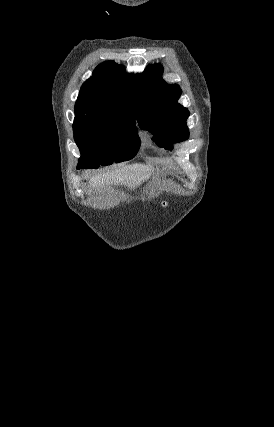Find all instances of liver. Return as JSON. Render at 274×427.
Listing matches in <instances>:
<instances>
[{
    "instance_id": "1",
    "label": "liver",
    "mask_w": 274,
    "mask_h": 427,
    "mask_svg": "<svg viewBox=\"0 0 274 427\" xmlns=\"http://www.w3.org/2000/svg\"><path fill=\"white\" fill-rule=\"evenodd\" d=\"M153 174L152 166L145 164H131V166H123L119 170H110L107 174H97L94 178H90L89 188H106L111 182L114 186H128L130 190L138 188L142 182L151 178Z\"/></svg>"
}]
</instances>
